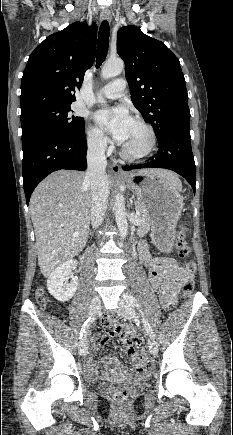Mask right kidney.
<instances>
[{"label":"right kidney","mask_w":233,"mask_h":435,"mask_svg":"<svg viewBox=\"0 0 233 435\" xmlns=\"http://www.w3.org/2000/svg\"><path fill=\"white\" fill-rule=\"evenodd\" d=\"M73 264L74 260L72 259L62 263L50 274L47 280L49 293L58 301L70 300L77 290L78 278L76 276L71 277L70 284L66 283Z\"/></svg>","instance_id":"1"}]
</instances>
